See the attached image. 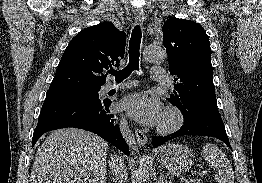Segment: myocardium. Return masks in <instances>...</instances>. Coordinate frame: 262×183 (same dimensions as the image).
Listing matches in <instances>:
<instances>
[{
	"label": "myocardium",
	"mask_w": 262,
	"mask_h": 183,
	"mask_svg": "<svg viewBox=\"0 0 262 183\" xmlns=\"http://www.w3.org/2000/svg\"><path fill=\"white\" fill-rule=\"evenodd\" d=\"M163 115H169L171 117V121L168 124L159 123L157 127V132L159 134H171L180 129L184 123L183 113L175 105L166 106Z\"/></svg>",
	"instance_id": "obj_1"
}]
</instances>
